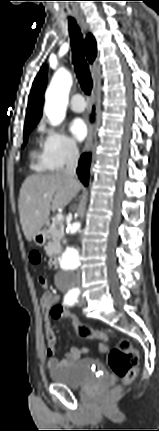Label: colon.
I'll return each mask as SVG.
<instances>
[{
  "label": "colon",
  "mask_w": 159,
  "mask_h": 431,
  "mask_svg": "<svg viewBox=\"0 0 159 431\" xmlns=\"http://www.w3.org/2000/svg\"><path fill=\"white\" fill-rule=\"evenodd\" d=\"M33 261L39 259L37 253L31 256ZM50 296L47 298L48 308L53 311L51 314L52 322H61L64 320L65 324H73L77 335L83 339H97L100 343V353L107 355L108 364L113 373L122 381V384L128 385L134 381L138 370V353L132 343L125 338H121L115 342L113 346H108L111 337L104 331L94 330L86 323L80 322L74 309L67 311L63 301H56L55 291H50ZM120 387L113 390L112 394L117 395Z\"/></svg>",
  "instance_id": "obj_1"
}]
</instances>
